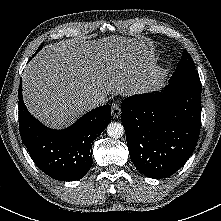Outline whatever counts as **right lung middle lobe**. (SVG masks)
Masks as SVG:
<instances>
[{
	"mask_svg": "<svg viewBox=\"0 0 221 221\" xmlns=\"http://www.w3.org/2000/svg\"><path fill=\"white\" fill-rule=\"evenodd\" d=\"M42 46H43V44H41V45L39 46L38 50H40ZM37 52H38V51H37ZM37 52H36V53H37Z\"/></svg>",
	"mask_w": 221,
	"mask_h": 221,
	"instance_id": "right-lung-middle-lobe-1",
	"label": "right lung middle lobe"
}]
</instances>
